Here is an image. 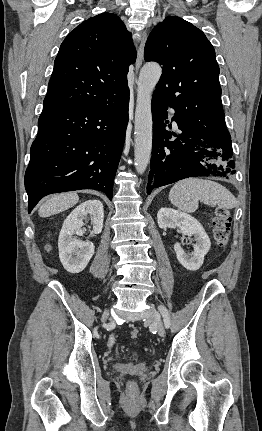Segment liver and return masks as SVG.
I'll return each instance as SVG.
<instances>
[{
	"instance_id": "1",
	"label": "liver",
	"mask_w": 262,
	"mask_h": 431,
	"mask_svg": "<svg viewBox=\"0 0 262 431\" xmlns=\"http://www.w3.org/2000/svg\"><path fill=\"white\" fill-rule=\"evenodd\" d=\"M78 201L79 196L75 192L56 194L40 206L38 214L42 218L50 217L73 207Z\"/></svg>"
}]
</instances>
